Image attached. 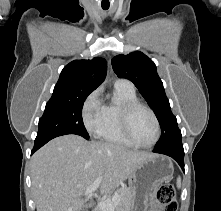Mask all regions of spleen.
<instances>
[{
	"instance_id": "3e777b00",
	"label": "spleen",
	"mask_w": 221,
	"mask_h": 211,
	"mask_svg": "<svg viewBox=\"0 0 221 211\" xmlns=\"http://www.w3.org/2000/svg\"><path fill=\"white\" fill-rule=\"evenodd\" d=\"M177 187L178 188L181 187V178L180 177L177 178Z\"/></svg>"
}]
</instances>
